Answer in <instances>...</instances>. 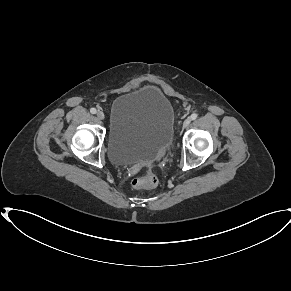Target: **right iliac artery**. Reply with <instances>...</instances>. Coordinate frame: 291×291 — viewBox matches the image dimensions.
<instances>
[{
  "instance_id": "1",
  "label": "right iliac artery",
  "mask_w": 291,
  "mask_h": 291,
  "mask_svg": "<svg viewBox=\"0 0 291 291\" xmlns=\"http://www.w3.org/2000/svg\"><path fill=\"white\" fill-rule=\"evenodd\" d=\"M90 112H91L92 114H95V113L97 112V110H96L95 108H91V109H90Z\"/></svg>"
}]
</instances>
